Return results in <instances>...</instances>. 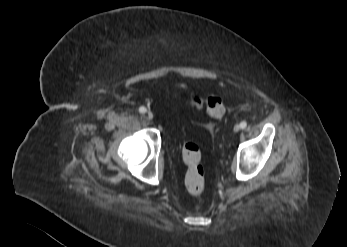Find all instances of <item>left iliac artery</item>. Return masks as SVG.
I'll list each match as a JSON object with an SVG mask.
<instances>
[{"label": "left iliac artery", "mask_w": 347, "mask_h": 247, "mask_svg": "<svg viewBox=\"0 0 347 247\" xmlns=\"http://www.w3.org/2000/svg\"><path fill=\"white\" fill-rule=\"evenodd\" d=\"M246 126H247L246 121H242V122L240 123V127H241L242 129L246 128Z\"/></svg>", "instance_id": "obj_1"}]
</instances>
